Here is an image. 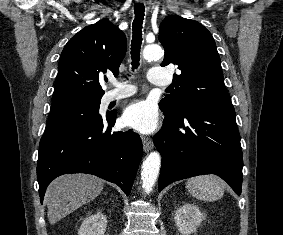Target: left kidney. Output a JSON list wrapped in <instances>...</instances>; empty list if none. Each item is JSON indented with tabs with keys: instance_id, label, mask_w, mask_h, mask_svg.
Instances as JSON below:
<instances>
[{
	"instance_id": "1",
	"label": "left kidney",
	"mask_w": 283,
	"mask_h": 235,
	"mask_svg": "<svg viewBox=\"0 0 283 235\" xmlns=\"http://www.w3.org/2000/svg\"><path fill=\"white\" fill-rule=\"evenodd\" d=\"M205 215L193 204H185L175 212V224L182 235H190L195 232Z\"/></svg>"
}]
</instances>
